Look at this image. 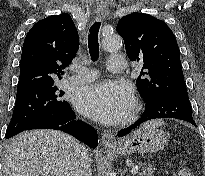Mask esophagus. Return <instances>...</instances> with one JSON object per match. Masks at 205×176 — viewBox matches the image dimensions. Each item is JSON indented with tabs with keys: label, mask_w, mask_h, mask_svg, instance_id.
I'll return each mask as SVG.
<instances>
[{
	"label": "esophagus",
	"mask_w": 205,
	"mask_h": 176,
	"mask_svg": "<svg viewBox=\"0 0 205 176\" xmlns=\"http://www.w3.org/2000/svg\"><path fill=\"white\" fill-rule=\"evenodd\" d=\"M107 14H108V9L106 6H99L96 10V16H97V19L99 20L104 19L107 16ZM101 143H102V146L104 147H115L116 146L114 135L109 131L102 133Z\"/></svg>",
	"instance_id": "1"
}]
</instances>
